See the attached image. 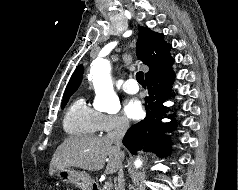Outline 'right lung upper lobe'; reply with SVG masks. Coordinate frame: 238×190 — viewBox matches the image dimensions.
Returning <instances> with one entry per match:
<instances>
[{
  "label": "right lung upper lobe",
  "instance_id": "1",
  "mask_svg": "<svg viewBox=\"0 0 238 190\" xmlns=\"http://www.w3.org/2000/svg\"><path fill=\"white\" fill-rule=\"evenodd\" d=\"M171 48L172 46L163 40V34H158L149 28L139 26L136 54L138 59L150 68L145 74V78L160 72L173 61L170 56ZM82 75L83 66L79 65L67 85L65 94L74 93L77 90L81 83Z\"/></svg>",
  "mask_w": 238,
  "mask_h": 190
}]
</instances>
